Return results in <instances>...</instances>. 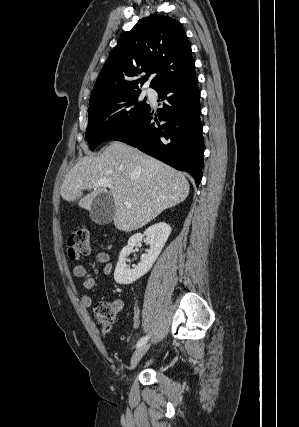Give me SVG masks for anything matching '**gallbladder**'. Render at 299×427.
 <instances>
[{
    "mask_svg": "<svg viewBox=\"0 0 299 427\" xmlns=\"http://www.w3.org/2000/svg\"><path fill=\"white\" fill-rule=\"evenodd\" d=\"M91 220L99 225L112 222L115 215V203L113 197L108 193L98 194L92 202L90 208Z\"/></svg>",
    "mask_w": 299,
    "mask_h": 427,
    "instance_id": "1",
    "label": "gallbladder"
}]
</instances>
